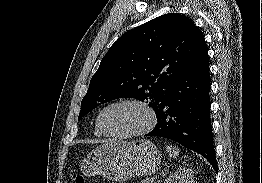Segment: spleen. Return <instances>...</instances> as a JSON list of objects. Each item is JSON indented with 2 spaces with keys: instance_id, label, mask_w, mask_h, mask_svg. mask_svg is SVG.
<instances>
[{
  "instance_id": "3e777b00",
  "label": "spleen",
  "mask_w": 262,
  "mask_h": 183,
  "mask_svg": "<svg viewBox=\"0 0 262 183\" xmlns=\"http://www.w3.org/2000/svg\"><path fill=\"white\" fill-rule=\"evenodd\" d=\"M166 151H167V153L169 154V156L171 158L178 157L179 156V152H180L179 148L174 147V146H167L166 147Z\"/></svg>"
}]
</instances>
